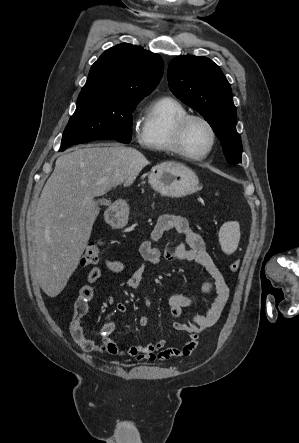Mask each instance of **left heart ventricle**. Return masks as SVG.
<instances>
[{"mask_svg": "<svg viewBox=\"0 0 299 443\" xmlns=\"http://www.w3.org/2000/svg\"><path fill=\"white\" fill-rule=\"evenodd\" d=\"M211 142V135L207 126L199 121L192 120L188 123L183 143L185 149L191 154H201L205 152Z\"/></svg>", "mask_w": 299, "mask_h": 443, "instance_id": "obj_1", "label": "left heart ventricle"}]
</instances>
